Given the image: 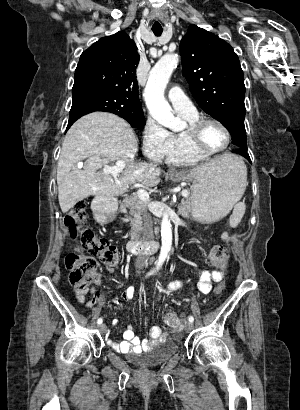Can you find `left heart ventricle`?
I'll list each match as a JSON object with an SVG mask.
<instances>
[{
    "instance_id": "obj_1",
    "label": "left heart ventricle",
    "mask_w": 300,
    "mask_h": 410,
    "mask_svg": "<svg viewBox=\"0 0 300 410\" xmlns=\"http://www.w3.org/2000/svg\"><path fill=\"white\" fill-rule=\"evenodd\" d=\"M201 137L204 146L211 150L222 148L227 140L224 131L215 123L204 125Z\"/></svg>"
}]
</instances>
